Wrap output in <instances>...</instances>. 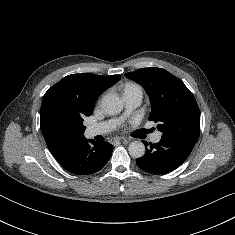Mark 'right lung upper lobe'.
<instances>
[{
  "label": "right lung upper lobe",
  "instance_id": "1",
  "mask_svg": "<svg viewBox=\"0 0 235 235\" xmlns=\"http://www.w3.org/2000/svg\"><path fill=\"white\" fill-rule=\"evenodd\" d=\"M120 80L119 75L72 74L52 86L41 104L40 126L50 152L57 160L84 139V131L64 123L72 112L92 114L97 97Z\"/></svg>",
  "mask_w": 235,
  "mask_h": 235
}]
</instances>
